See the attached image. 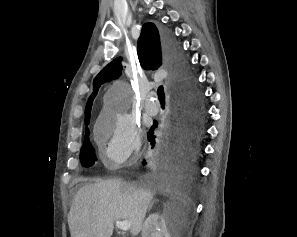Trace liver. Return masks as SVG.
<instances>
[{
  "mask_svg": "<svg viewBox=\"0 0 297 237\" xmlns=\"http://www.w3.org/2000/svg\"><path fill=\"white\" fill-rule=\"evenodd\" d=\"M153 192L107 180L86 184L75 194L68 214L71 237H111L114 222H130L132 236H137L153 199Z\"/></svg>",
  "mask_w": 297,
  "mask_h": 237,
  "instance_id": "liver-1",
  "label": "liver"
}]
</instances>
